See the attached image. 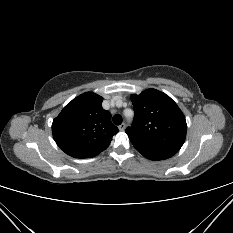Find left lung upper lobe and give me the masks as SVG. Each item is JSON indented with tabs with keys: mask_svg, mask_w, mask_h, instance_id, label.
Wrapping results in <instances>:
<instances>
[{
	"mask_svg": "<svg viewBox=\"0 0 233 233\" xmlns=\"http://www.w3.org/2000/svg\"><path fill=\"white\" fill-rule=\"evenodd\" d=\"M134 121L125 132L144 157L165 160L182 147L187 125L184 114L165 93L148 89L132 95Z\"/></svg>",
	"mask_w": 233,
	"mask_h": 233,
	"instance_id": "obj_1",
	"label": "left lung upper lobe"
}]
</instances>
